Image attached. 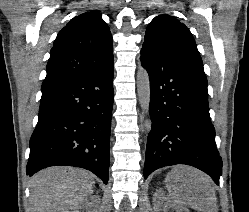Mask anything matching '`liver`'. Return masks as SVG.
Here are the masks:
<instances>
[{
    "instance_id": "obj_1",
    "label": "liver",
    "mask_w": 249,
    "mask_h": 212,
    "mask_svg": "<svg viewBox=\"0 0 249 212\" xmlns=\"http://www.w3.org/2000/svg\"><path fill=\"white\" fill-rule=\"evenodd\" d=\"M167 184H175V204H188L198 212L217 210V198L211 180L200 170L190 166H175L174 174L166 178V188ZM30 188L33 212H68L90 200L95 182L87 170L54 166L32 176Z\"/></svg>"
}]
</instances>
